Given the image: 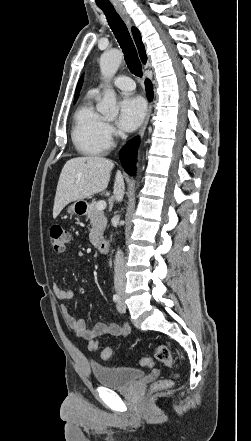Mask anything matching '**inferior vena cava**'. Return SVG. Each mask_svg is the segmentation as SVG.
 <instances>
[{
	"instance_id": "inferior-vena-cava-1",
	"label": "inferior vena cava",
	"mask_w": 251,
	"mask_h": 441,
	"mask_svg": "<svg viewBox=\"0 0 251 441\" xmlns=\"http://www.w3.org/2000/svg\"><path fill=\"white\" fill-rule=\"evenodd\" d=\"M125 270H124V256L120 249L117 250L114 261V286L118 293L125 289Z\"/></svg>"
}]
</instances>
